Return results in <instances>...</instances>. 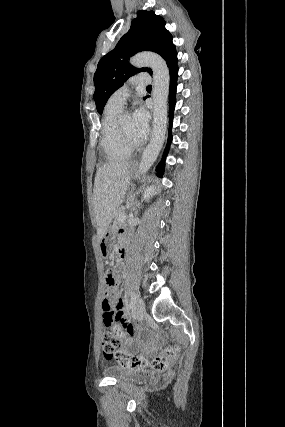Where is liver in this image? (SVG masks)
I'll return each mask as SVG.
<instances>
[{
	"label": "liver",
	"instance_id": "obj_1",
	"mask_svg": "<svg viewBox=\"0 0 285 427\" xmlns=\"http://www.w3.org/2000/svg\"><path fill=\"white\" fill-rule=\"evenodd\" d=\"M130 163L110 162L96 173L93 205L98 237L107 231L130 184Z\"/></svg>",
	"mask_w": 285,
	"mask_h": 427
}]
</instances>
